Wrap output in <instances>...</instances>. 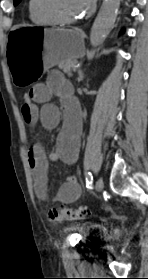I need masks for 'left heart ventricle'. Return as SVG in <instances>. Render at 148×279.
I'll return each instance as SVG.
<instances>
[{
	"mask_svg": "<svg viewBox=\"0 0 148 279\" xmlns=\"http://www.w3.org/2000/svg\"><path fill=\"white\" fill-rule=\"evenodd\" d=\"M45 5L56 11L58 15L64 18L80 17L82 10L79 0H45Z\"/></svg>",
	"mask_w": 148,
	"mask_h": 279,
	"instance_id": "left-heart-ventricle-1",
	"label": "left heart ventricle"
}]
</instances>
